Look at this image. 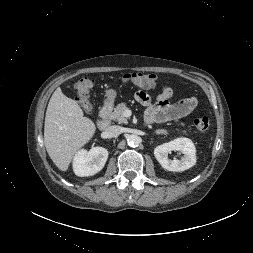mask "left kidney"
<instances>
[{"mask_svg": "<svg viewBox=\"0 0 253 253\" xmlns=\"http://www.w3.org/2000/svg\"><path fill=\"white\" fill-rule=\"evenodd\" d=\"M171 151H181L184 156L181 160H171L168 158ZM154 155L161 166L169 171L181 172L191 168L196 163V148L188 138H177L159 145L154 149Z\"/></svg>", "mask_w": 253, "mask_h": 253, "instance_id": "1", "label": "left kidney"}]
</instances>
